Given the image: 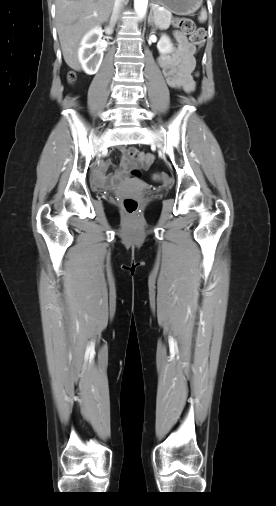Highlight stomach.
Segmentation results:
<instances>
[{
  "label": "stomach",
  "mask_w": 276,
  "mask_h": 506,
  "mask_svg": "<svg viewBox=\"0 0 276 506\" xmlns=\"http://www.w3.org/2000/svg\"><path fill=\"white\" fill-rule=\"evenodd\" d=\"M170 12L177 15H189L194 13L202 5L203 0H152Z\"/></svg>",
  "instance_id": "obj_1"
}]
</instances>
